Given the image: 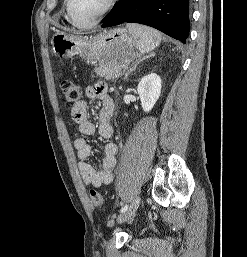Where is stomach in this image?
Masks as SVG:
<instances>
[{
	"label": "stomach",
	"mask_w": 247,
	"mask_h": 257,
	"mask_svg": "<svg viewBox=\"0 0 247 257\" xmlns=\"http://www.w3.org/2000/svg\"><path fill=\"white\" fill-rule=\"evenodd\" d=\"M51 43L54 53L58 56L69 58L79 54L92 64L117 63L126 66L139 56L135 51L136 40L133 34L121 27L90 38L57 32L53 35Z\"/></svg>",
	"instance_id": "stomach-1"
}]
</instances>
